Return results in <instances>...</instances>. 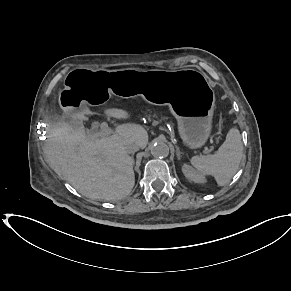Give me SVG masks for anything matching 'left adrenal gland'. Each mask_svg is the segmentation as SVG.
Here are the masks:
<instances>
[{"instance_id":"1","label":"left adrenal gland","mask_w":291,"mask_h":291,"mask_svg":"<svg viewBox=\"0 0 291 291\" xmlns=\"http://www.w3.org/2000/svg\"><path fill=\"white\" fill-rule=\"evenodd\" d=\"M176 154H177V159L178 160H180L181 159V151L179 150V148L177 147V152H176Z\"/></svg>"}]
</instances>
